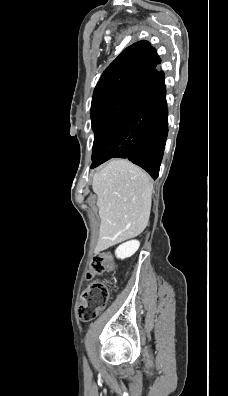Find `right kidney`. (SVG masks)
I'll return each mask as SVG.
<instances>
[{"label": "right kidney", "mask_w": 228, "mask_h": 396, "mask_svg": "<svg viewBox=\"0 0 228 396\" xmlns=\"http://www.w3.org/2000/svg\"><path fill=\"white\" fill-rule=\"evenodd\" d=\"M139 246L140 243L137 240H131L125 242L120 246H118V248L116 249L115 251L116 257L119 259H125L131 257L138 250Z\"/></svg>", "instance_id": "obj_1"}]
</instances>
